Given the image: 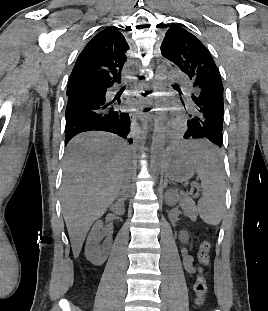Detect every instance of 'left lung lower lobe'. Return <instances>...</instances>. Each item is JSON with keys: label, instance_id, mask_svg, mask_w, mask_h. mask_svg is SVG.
I'll return each mask as SVG.
<instances>
[{"label": "left lung lower lobe", "instance_id": "obj_1", "mask_svg": "<svg viewBox=\"0 0 268 311\" xmlns=\"http://www.w3.org/2000/svg\"><path fill=\"white\" fill-rule=\"evenodd\" d=\"M192 113L188 116L181 142L207 140L223 145V90L219 87H204L191 96Z\"/></svg>", "mask_w": 268, "mask_h": 311}]
</instances>
